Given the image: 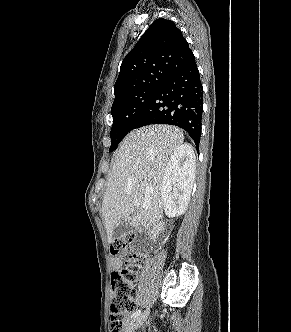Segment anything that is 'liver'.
I'll list each match as a JSON object with an SVG mask.
<instances>
[{"label":"liver","mask_w":291,"mask_h":332,"mask_svg":"<svg viewBox=\"0 0 291 332\" xmlns=\"http://www.w3.org/2000/svg\"><path fill=\"white\" fill-rule=\"evenodd\" d=\"M182 130L150 125L130 132L116 151L102 202L108 242L114 227L130 218L133 227L154 243L165 230L161 187L167 164L182 145ZM138 201V205H136Z\"/></svg>","instance_id":"liver-1"}]
</instances>
